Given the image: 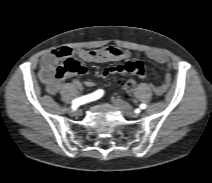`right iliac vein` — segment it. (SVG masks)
Segmentation results:
<instances>
[{"instance_id": "63e3f726", "label": "right iliac vein", "mask_w": 212, "mask_h": 183, "mask_svg": "<svg viewBox=\"0 0 212 183\" xmlns=\"http://www.w3.org/2000/svg\"><path fill=\"white\" fill-rule=\"evenodd\" d=\"M69 113H70L71 115H79V110H72V109H70V110H69Z\"/></svg>"}]
</instances>
